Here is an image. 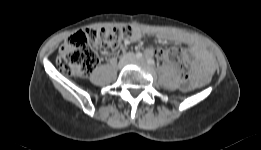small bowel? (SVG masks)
<instances>
[{
    "label": "small bowel",
    "mask_w": 261,
    "mask_h": 150,
    "mask_svg": "<svg viewBox=\"0 0 261 150\" xmlns=\"http://www.w3.org/2000/svg\"><path fill=\"white\" fill-rule=\"evenodd\" d=\"M148 30L142 29V28H135L133 30L132 36L129 38L130 43H134L139 41L143 35L147 34ZM157 38L160 41H164L165 38L161 35H158ZM177 42L186 44L190 47L191 53L195 57V61L193 63L194 68V77L192 80H190L187 83V86L190 87L198 79L207 77L215 67V62L210 54V52L207 50V48L197 39L191 37V36H180L175 39ZM155 52L152 49H146L145 50V56L150 57L153 56ZM162 60L166 61V59L161 58Z\"/></svg>",
    "instance_id": "small-bowel-1"
}]
</instances>
